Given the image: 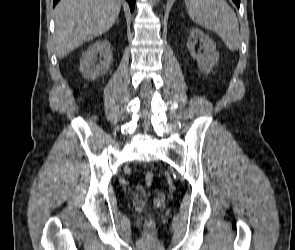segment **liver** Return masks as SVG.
I'll list each match as a JSON object with an SVG mask.
<instances>
[{"label": "liver", "instance_id": "6515ba94", "mask_svg": "<svg viewBox=\"0 0 295 250\" xmlns=\"http://www.w3.org/2000/svg\"><path fill=\"white\" fill-rule=\"evenodd\" d=\"M121 9V0H61L55 9V39L59 58L107 32Z\"/></svg>", "mask_w": 295, "mask_h": 250}]
</instances>
